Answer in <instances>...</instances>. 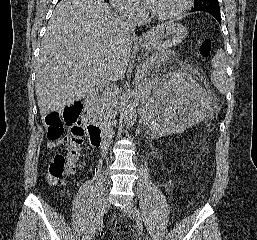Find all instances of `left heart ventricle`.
<instances>
[{
  "instance_id": "obj_1",
  "label": "left heart ventricle",
  "mask_w": 257,
  "mask_h": 240,
  "mask_svg": "<svg viewBox=\"0 0 257 240\" xmlns=\"http://www.w3.org/2000/svg\"><path fill=\"white\" fill-rule=\"evenodd\" d=\"M150 9L159 15H167L176 11L182 0H147Z\"/></svg>"
}]
</instances>
